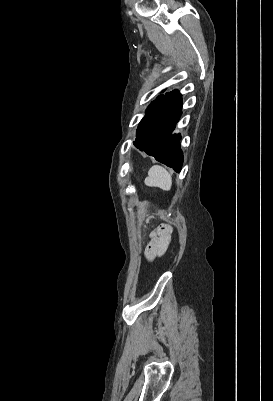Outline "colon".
Segmentation results:
<instances>
[{
  "mask_svg": "<svg viewBox=\"0 0 273 401\" xmlns=\"http://www.w3.org/2000/svg\"><path fill=\"white\" fill-rule=\"evenodd\" d=\"M157 231H158L159 234H162V233L166 232V231H167V230H166V226H161V227H159V228L157 229ZM168 237H169V236H168Z\"/></svg>",
  "mask_w": 273,
  "mask_h": 401,
  "instance_id": "5ec220e1",
  "label": "colon"
}]
</instances>
